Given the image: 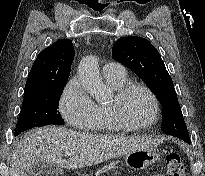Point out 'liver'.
Listing matches in <instances>:
<instances>
[{
  "mask_svg": "<svg viewBox=\"0 0 205 176\" xmlns=\"http://www.w3.org/2000/svg\"><path fill=\"white\" fill-rule=\"evenodd\" d=\"M160 142V139L80 133L63 127L38 128L18 140L10 162V176H28L29 168L37 162L66 169L89 167ZM66 152L73 153L68 160L63 158Z\"/></svg>",
  "mask_w": 205,
  "mask_h": 176,
  "instance_id": "6515ba94",
  "label": "liver"
}]
</instances>
